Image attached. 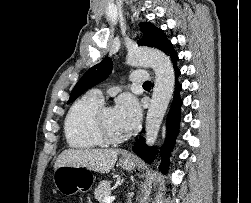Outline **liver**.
<instances>
[{"label": "liver", "instance_id": "obj_1", "mask_svg": "<svg viewBox=\"0 0 251 203\" xmlns=\"http://www.w3.org/2000/svg\"><path fill=\"white\" fill-rule=\"evenodd\" d=\"M119 152L114 149H66L58 156L54 168L81 166L94 172L108 173L116 163Z\"/></svg>", "mask_w": 251, "mask_h": 203}]
</instances>
